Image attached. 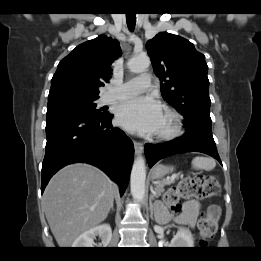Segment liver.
<instances>
[{
	"label": "liver",
	"mask_w": 261,
	"mask_h": 261,
	"mask_svg": "<svg viewBox=\"0 0 261 261\" xmlns=\"http://www.w3.org/2000/svg\"><path fill=\"white\" fill-rule=\"evenodd\" d=\"M114 184L99 169L71 164L55 174L43 195V206L59 247L103 222L113 206Z\"/></svg>",
	"instance_id": "1"
}]
</instances>
